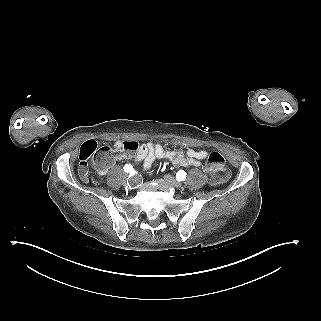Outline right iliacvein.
<instances>
[{
	"label": "right iliac vein",
	"instance_id": "1",
	"mask_svg": "<svg viewBox=\"0 0 321 321\" xmlns=\"http://www.w3.org/2000/svg\"><path fill=\"white\" fill-rule=\"evenodd\" d=\"M123 184H124V185H127V184H128V181L124 180V181H123Z\"/></svg>",
	"mask_w": 321,
	"mask_h": 321
}]
</instances>
